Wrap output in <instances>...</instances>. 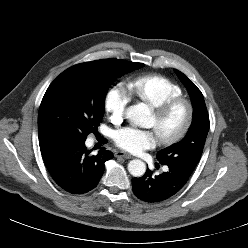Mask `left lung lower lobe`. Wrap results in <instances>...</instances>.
Instances as JSON below:
<instances>
[{
	"mask_svg": "<svg viewBox=\"0 0 248 248\" xmlns=\"http://www.w3.org/2000/svg\"><path fill=\"white\" fill-rule=\"evenodd\" d=\"M169 170L163 174L154 176L147 169L140 178L132 179L134 194L140 200L148 203L165 201L176 195L187 183L189 175L178 170L174 166H168Z\"/></svg>",
	"mask_w": 248,
	"mask_h": 248,
	"instance_id": "left-lung-lower-lobe-1",
	"label": "left lung lower lobe"
}]
</instances>
